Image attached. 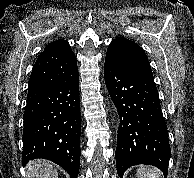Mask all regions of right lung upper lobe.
<instances>
[{
	"instance_id": "obj_1",
	"label": "right lung upper lobe",
	"mask_w": 194,
	"mask_h": 178,
	"mask_svg": "<svg viewBox=\"0 0 194 178\" xmlns=\"http://www.w3.org/2000/svg\"><path fill=\"white\" fill-rule=\"evenodd\" d=\"M78 72L75 55L66 40L48 44L34 64L28 90L65 81Z\"/></svg>"
}]
</instances>
